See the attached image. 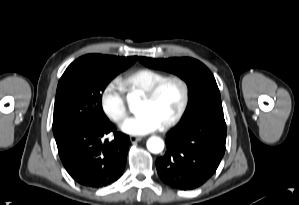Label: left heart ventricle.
<instances>
[{
  "label": "left heart ventricle",
  "mask_w": 299,
  "mask_h": 205,
  "mask_svg": "<svg viewBox=\"0 0 299 205\" xmlns=\"http://www.w3.org/2000/svg\"><path fill=\"white\" fill-rule=\"evenodd\" d=\"M181 96V87L177 83H169L155 99L145 101L141 98L137 112L152 114L162 125L176 113L181 102Z\"/></svg>",
  "instance_id": "left-heart-ventricle-1"
}]
</instances>
